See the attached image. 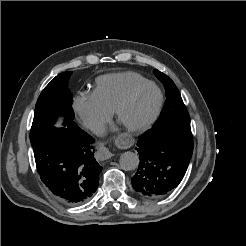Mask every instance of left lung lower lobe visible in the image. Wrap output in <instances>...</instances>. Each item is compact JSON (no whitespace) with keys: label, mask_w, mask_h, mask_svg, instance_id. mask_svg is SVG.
<instances>
[{"label":"left lung lower lobe","mask_w":246,"mask_h":246,"mask_svg":"<svg viewBox=\"0 0 246 246\" xmlns=\"http://www.w3.org/2000/svg\"><path fill=\"white\" fill-rule=\"evenodd\" d=\"M140 163L132 177L135 191L146 198H160L183 179L193 152L190 126L150 129L137 142Z\"/></svg>","instance_id":"obj_1"}]
</instances>
